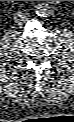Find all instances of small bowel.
<instances>
[{
    "label": "small bowel",
    "mask_w": 74,
    "mask_h": 122,
    "mask_svg": "<svg viewBox=\"0 0 74 122\" xmlns=\"http://www.w3.org/2000/svg\"><path fill=\"white\" fill-rule=\"evenodd\" d=\"M50 3L51 1H48L45 5H43L41 8L44 10H49L50 9Z\"/></svg>",
    "instance_id": "c3829d8e"
}]
</instances>
